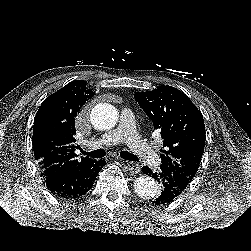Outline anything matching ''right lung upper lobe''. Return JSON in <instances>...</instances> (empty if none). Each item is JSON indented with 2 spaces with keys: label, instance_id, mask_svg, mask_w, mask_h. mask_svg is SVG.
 Instances as JSON below:
<instances>
[{
  "label": "right lung upper lobe",
  "instance_id": "obj_1",
  "mask_svg": "<svg viewBox=\"0 0 251 251\" xmlns=\"http://www.w3.org/2000/svg\"><path fill=\"white\" fill-rule=\"evenodd\" d=\"M93 96L84 80H75L41 104L34 118L32 145L44 179L94 162L88 157L77 159L75 151L80 147L74 138L75 117Z\"/></svg>",
  "mask_w": 251,
  "mask_h": 251
}]
</instances>
